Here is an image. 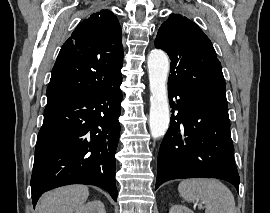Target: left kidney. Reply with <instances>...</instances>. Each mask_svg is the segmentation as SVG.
Instances as JSON below:
<instances>
[{"label": "left kidney", "instance_id": "1", "mask_svg": "<svg viewBox=\"0 0 270 213\" xmlns=\"http://www.w3.org/2000/svg\"><path fill=\"white\" fill-rule=\"evenodd\" d=\"M169 213H194V212L184 205L176 204L170 208Z\"/></svg>", "mask_w": 270, "mask_h": 213}]
</instances>
